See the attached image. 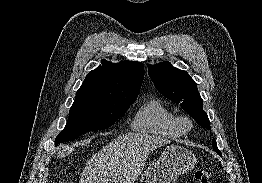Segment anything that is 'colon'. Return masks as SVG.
<instances>
[{
  "instance_id": "5ec220e1",
  "label": "colon",
  "mask_w": 262,
  "mask_h": 183,
  "mask_svg": "<svg viewBox=\"0 0 262 183\" xmlns=\"http://www.w3.org/2000/svg\"><path fill=\"white\" fill-rule=\"evenodd\" d=\"M194 177L198 183H208L211 178V172L209 170H197ZM60 183H72L69 181H64Z\"/></svg>"
}]
</instances>
